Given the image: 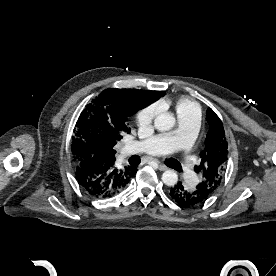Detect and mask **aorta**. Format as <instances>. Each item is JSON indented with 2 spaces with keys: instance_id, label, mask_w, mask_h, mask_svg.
I'll return each mask as SVG.
<instances>
[{
  "instance_id": "aorta-1",
  "label": "aorta",
  "mask_w": 276,
  "mask_h": 276,
  "mask_svg": "<svg viewBox=\"0 0 276 276\" xmlns=\"http://www.w3.org/2000/svg\"><path fill=\"white\" fill-rule=\"evenodd\" d=\"M176 119L169 112L160 113L154 120V126L159 131H168L175 125ZM162 181L167 186H174L178 182V175L174 170H166L162 174Z\"/></svg>"
}]
</instances>
